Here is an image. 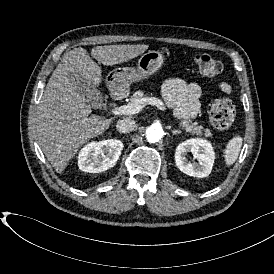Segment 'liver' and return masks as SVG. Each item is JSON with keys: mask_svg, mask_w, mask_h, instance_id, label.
<instances>
[{"mask_svg": "<svg viewBox=\"0 0 274 274\" xmlns=\"http://www.w3.org/2000/svg\"><path fill=\"white\" fill-rule=\"evenodd\" d=\"M148 47L145 44L96 46L91 56L98 63L113 66L139 56ZM101 73L87 51L78 47L63 56L46 85L36 112V130L43 153L58 173L63 172L81 146L103 134L112 122L99 115L89 117L92 107L82 94L86 84L101 83Z\"/></svg>", "mask_w": 274, "mask_h": 274, "instance_id": "6515ba94", "label": "liver"}]
</instances>
